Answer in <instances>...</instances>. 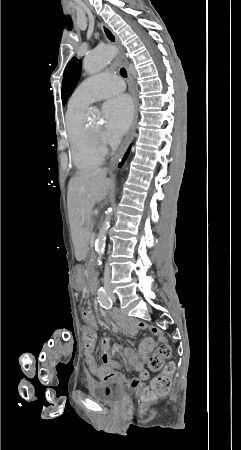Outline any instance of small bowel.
Wrapping results in <instances>:
<instances>
[{"label":"small bowel","mask_w":241,"mask_h":450,"mask_svg":"<svg viewBox=\"0 0 241 450\" xmlns=\"http://www.w3.org/2000/svg\"><path fill=\"white\" fill-rule=\"evenodd\" d=\"M82 317L86 323L82 333H96L97 319L87 310L82 312ZM90 326L91 330L87 331L86 327ZM121 331L125 335L135 336L139 331H149L158 337L159 341H163V334L157 327L149 326L146 322L141 320L127 321L121 326ZM159 342L152 337H145L139 344L138 351L133 347H125L122 354L135 371L138 373L137 377H127L118 371L119 363L116 362L109 352V340L105 339L102 343L101 364L96 361L95 356H84L85 363L89 372L96 378L100 379L104 384H120L131 389L138 388L142 383L147 381L150 373L146 366L150 358L155 354ZM109 390V386L107 385Z\"/></svg>","instance_id":"obj_1"}]
</instances>
